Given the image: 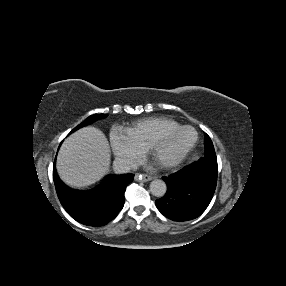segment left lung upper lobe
<instances>
[{"label":"left lung upper lobe","instance_id":"1","mask_svg":"<svg viewBox=\"0 0 286 286\" xmlns=\"http://www.w3.org/2000/svg\"><path fill=\"white\" fill-rule=\"evenodd\" d=\"M204 146H205V154L215 152L213 143L207 134H205Z\"/></svg>","mask_w":286,"mask_h":286}]
</instances>
